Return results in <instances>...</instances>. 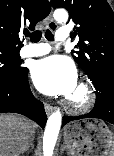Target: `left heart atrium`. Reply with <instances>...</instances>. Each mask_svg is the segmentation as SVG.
Instances as JSON below:
<instances>
[{
    "label": "left heart atrium",
    "instance_id": "left-heart-atrium-1",
    "mask_svg": "<svg viewBox=\"0 0 114 156\" xmlns=\"http://www.w3.org/2000/svg\"><path fill=\"white\" fill-rule=\"evenodd\" d=\"M31 77L36 88L50 96L69 97L77 84L74 64L70 59L59 55L36 61L31 68Z\"/></svg>",
    "mask_w": 114,
    "mask_h": 156
}]
</instances>
